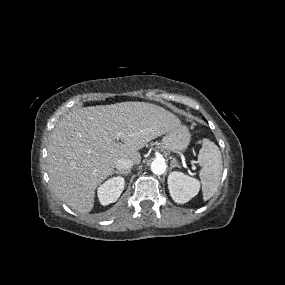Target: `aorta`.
<instances>
[{
  "label": "aorta",
  "instance_id": "obj_1",
  "mask_svg": "<svg viewBox=\"0 0 285 285\" xmlns=\"http://www.w3.org/2000/svg\"><path fill=\"white\" fill-rule=\"evenodd\" d=\"M166 168H167V165H166L165 161L162 159H155L151 163V171L155 175H162L163 173H165Z\"/></svg>",
  "mask_w": 285,
  "mask_h": 285
}]
</instances>
